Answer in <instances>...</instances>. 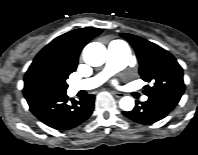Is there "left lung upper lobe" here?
Segmentation results:
<instances>
[{
  "instance_id": "1",
  "label": "left lung upper lobe",
  "mask_w": 198,
  "mask_h": 155,
  "mask_svg": "<svg viewBox=\"0 0 198 155\" xmlns=\"http://www.w3.org/2000/svg\"><path fill=\"white\" fill-rule=\"evenodd\" d=\"M134 47L139 60L141 78L153 86H145L148 97L174 96L184 93L183 70L177 60L165 49L139 36L121 33Z\"/></svg>"
}]
</instances>
